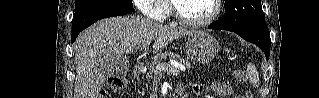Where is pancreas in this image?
<instances>
[{
  "mask_svg": "<svg viewBox=\"0 0 319 98\" xmlns=\"http://www.w3.org/2000/svg\"><path fill=\"white\" fill-rule=\"evenodd\" d=\"M166 58H172V59L180 62L184 66H186L188 69L191 68V65L188 62V60L181 58L179 55H177L173 52H163V53L157 54L154 57L153 62L150 64L149 72L146 74L147 86H148V83H150L154 79L155 75L162 74L163 71L156 73L155 69L158 66V64H160L162 62V60H165ZM141 94L144 95V90L142 91Z\"/></svg>",
  "mask_w": 319,
  "mask_h": 98,
  "instance_id": "cf45deb5",
  "label": "pancreas"
}]
</instances>
